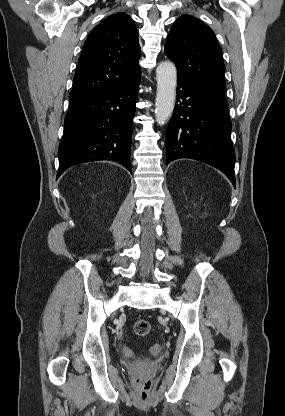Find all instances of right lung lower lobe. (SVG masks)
Here are the masks:
<instances>
[{
  "label": "right lung lower lobe",
  "instance_id": "1",
  "mask_svg": "<svg viewBox=\"0 0 285 416\" xmlns=\"http://www.w3.org/2000/svg\"><path fill=\"white\" fill-rule=\"evenodd\" d=\"M140 77L107 94L69 106L58 149L57 179L73 165L97 160L119 161L132 172V121Z\"/></svg>",
  "mask_w": 285,
  "mask_h": 416
}]
</instances>
